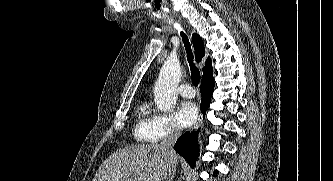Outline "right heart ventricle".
<instances>
[{"mask_svg": "<svg viewBox=\"0 0 333 181\" xmlns=\"http://www.w3.org/2000/svg\"><path fill=\"white\" fill-rule=\"evenodd\" d=\"M157 114L147 101L142 102L137 108V121L134 136L143 142H156L153 124Z\"/></svg>", "mask_w": 333, "mask_h": 181, "instance_id": "obj_1", "label": "right heart ventricle"}]
</instances>
